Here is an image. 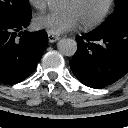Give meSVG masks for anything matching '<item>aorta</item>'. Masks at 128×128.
I'll list each match as a JSON object with an SVG mask.
<instances>
[{"instance_id":"aorta-1","label":"aorta","mask_w":128,"mask_h":128,"mask_svg":"<svg viewBox=\"0 0 128 128\" xmlns=\"http://www.w3.org/2000/svg\"><path fill=\"white\" fill-rule=\"evenodd\" d=\"M49 7L59 8L63 0H47ZM58 50L65 56H73L77 51V43L71 38H63L57 44Z\"/></svg>"}]
</instances>
